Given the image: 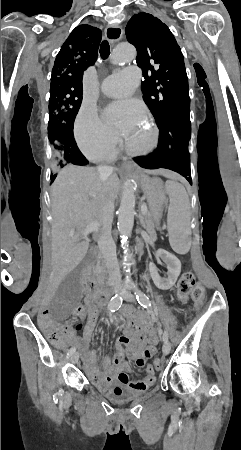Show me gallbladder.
<instances>
[{
    "label": "gallbladder",
    "instance_id": "gallbladder-1",
    "mask_svg": "<svg viewBox=\"0 0 241 450\" xmlns=\"http://www.w3.org/2000/svg\"><path fill=\"white\" fill-rule=\"evenodd\" d=\"M94 258L92 252L84 256L80 262L79 270H70L65 274L60 282L59 289L53 301L48 302V309L53 310V319L57 323H66L70 315H74L77 305H80V295L82 293L81 281L82 271L87 266L89 260Z\"/></svg>",
    "mask_w": 241,
    "mask_h": 450
}]
</instances>
